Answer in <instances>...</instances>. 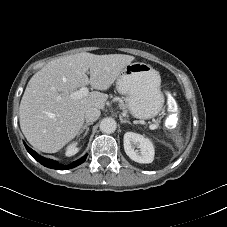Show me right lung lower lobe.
<instances>
[{
	"mask_svg": "<svg viewBox=\"0 0 227 227\" xmlns=\"http://www.w3.org/2000/svg\"><path fill=\"white\" fill-rule=\"evenodd\" d=\"M27 151L29 152V154L35 159L37 160L39 163H41L42 165H44L45 167L51 168V169H57V170H67V169H71L74 168L78 165H80L81 163H83L86 160V156L82 157L81 159L73 162L70 165H61L56 163L55 161L51 160V159H46L45 157L37 154L34 150H32L30 147H28L25 143H24Z\"/></svg>",
	"mask_w": 227,
	"mask_h": 227,
	"instance_id": "right-lung-lower-lobe-1",
	"label": "right lung lower lobe"
}]
</instances>
